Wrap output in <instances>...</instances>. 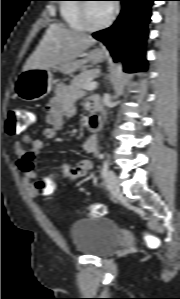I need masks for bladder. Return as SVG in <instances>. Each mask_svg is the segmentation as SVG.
<instances>
[{
  "mask_svg": "<svg viewBox=\"0 0 180 299\" xmlns=\"http://www.w3.org/2000/svg\"><path fill=\"white\" fill-rule=\"evenodd\" d=\"M69 235L78 252L96 257L109 255L121 242L119 227L106 217L78 219Z\"/></svg>",
  "mask_w": 180,
  "mask_h": 299,
  "instance_id": "1",
  "label": "bladder"
}]
</instances>
